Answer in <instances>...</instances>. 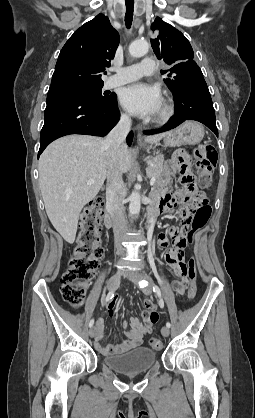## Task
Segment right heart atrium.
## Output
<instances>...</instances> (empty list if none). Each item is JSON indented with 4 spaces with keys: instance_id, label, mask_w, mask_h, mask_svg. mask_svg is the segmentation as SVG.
Wrapping results in <instances>:
<instances>
[{
    "instance_id": "obj_1",
    "label": "right heart atrium",
    "mask_w": 255,
    "mask_h": 418,
    "mask_svg": "<svg viewBox=\"0 0 255 418\" xmlns=\"http://www.w3.org/2000/svg\"><path fill=\"white\" fill-rule=\"evenodd\" d=\"M121 119H122L123 121H128V120H129V116H128L126 113H122V114H121Z\"/></svg>"
}]
</instances>
